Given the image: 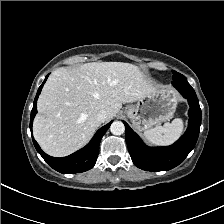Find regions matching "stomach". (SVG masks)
<instances>
[{
  "mask_svg": "<svg viewBox=\"0 0 224 224\" xmlns=\"http://www.w3.org/2000/svg\"><path fill=\"white\" fill-rule=\"evenodd\" d=\"M177 102V92L168 86H161L136 104L127 105L124 112L136 130L144 131L170 120Z\"/></svg>",
  "mask_w": 224,
  "mask_h": 224,
  "instance_id": "1",
  "label": "stomach"
}]
</instances>
